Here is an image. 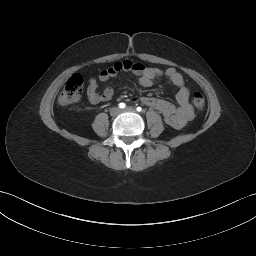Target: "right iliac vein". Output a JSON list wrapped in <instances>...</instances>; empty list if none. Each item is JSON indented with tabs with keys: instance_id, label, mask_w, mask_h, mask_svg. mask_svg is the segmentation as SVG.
Masks as SVG:
<instances>
[{
	"instance_id": "obj_1",
	"label": "right iliac vein",
	"mask_w": 256,
	"mask_h": 256,
	"mask_svg": "<svg viewBox=\"0 0 256 256\" xmlns=\"http://www.w3.org/2000/svg\"><path fill=\"white\" fill-rule=\"evenodd\" d=\"M120 112H121V110H120L118 107H114V108H112L111 111H110V113H111L112 116H117V115L120 114Z\"/></svg>"
}]
</instances>
